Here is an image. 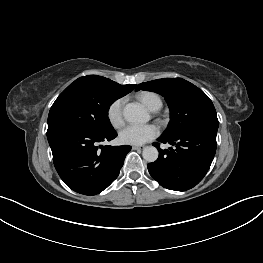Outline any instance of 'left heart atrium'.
Masks as SVG:
<instances>
[{"mask_svg":"<svg viewBox=\"0 0 263 263\" xmlns=\"http://www.w3.org/2000/svg\"><path fill=\"white\" fill-rule=\"evenodd\" d=\"M159 135V129L156 125H129L119 134L120 141L128 145H142Z\"/></svg>","mask_w":263,"mask_h":263,"instance_id":"39dd6f15","label":"left heart atrium"}]
</instances>
